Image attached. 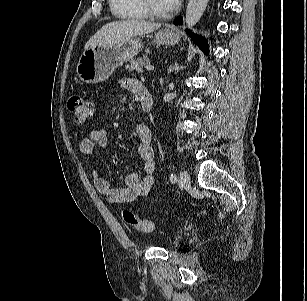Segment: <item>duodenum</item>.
Returning a JSON list of instances; mask_svg holds the SVG:
<instances>
[{
    "instance_id": "410a0bca",
    "label": "duodenum",
    "mask_w": 307,
    "mask_h": 301,
    "mask_svg": "<svg viewBox=\"0 0 307 301\" xmlns=\"http://www.w3.org/2000/svg\"><path fill=\"white\" fill-rule=\"evenodd\" d=\"M138 95L141 101V108L145 112H149L153 105L152 94L144 87L138 90Z\"/></svg>"
}]
</instances>
